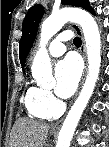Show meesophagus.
Masks as SVG:
<instances>
[{
	"instance_id": "1",
	"label": "esophagus",
	"mask_w": 109,
	"mask_h": 147,
	"mask_svg": "<svg viewBox=\"0 0 109 147\" xmlns=\"http://www.w3.org/2000/svg\"><path fill=\"white\" fill-rule=\"evenodd\" d=\"M71 28L77 35H79L82 38L81 53H82L84 60H85V69H84V73H83V76H82V79H81V82H80V85H79V88H78V91H77V94H76V96H77L79 94V91H80L82 85H83L85 75H86V72H87V68H88V63H87V57H86V46H85V41H84L82 30L77 24H72ZM63 119L64 118H62V119L58 120L57 122L53 123L51 125V128L52 129H59L61 127L62 123H63Z\"/></svg>"
}]
</instances>
